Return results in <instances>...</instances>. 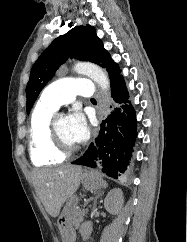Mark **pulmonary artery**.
Returning a JSON list of instances; mask_svg holds the SVG:
<instances>
[{
  "mask_svg": "<svg viewBox=\"0 0 187 242\" xmlns=\"http://www.w3.org/2000/svg\"><path fill=\"white\" fill-rule=\"evenodd\" d=\"M93 94V83L89 79L64 78L48 85L41 94L40 102L58 109L71 103L77 95L91 97Z\"/></svg>",
  "mask_w": 187,
  "mask_h": 242,
  "instance_id": "1",
  "label": "pulmonary artery"
}]
</instances>
